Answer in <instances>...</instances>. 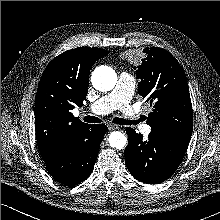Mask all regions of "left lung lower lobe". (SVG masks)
<instances>
[{
	"label": "left lung lower lobe",
	"instance_id": "1",
	"mask_svg": "<svg viewBox=\"0 0 220 220\" xmlns=\"http://www.w3.org/2000/svg\"><path fill=\"white\" fill-rule=\"evenodd\" d=\"M128 146L124 151L130 173L138 180L157 184L168 179L178 168L189 140L151 130L148 139L130 127L126 128Z\"/></svg>",
	"mask_w": 220,
	"mask_h": 220
}]
</instances>
